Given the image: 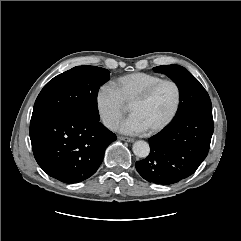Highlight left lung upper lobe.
<instances>
[{
  "instance_id": "5c2ea615",
  "label": "left lung upper lobe",
  "mask_w": 241,
  "mask_h": 241,
  "mask_svg": "<svg viewBox=\"0 0 241 241\" xmlns=\"http://www.w3.org/2000/svg\"><path fill=\"white\" fill-rule=\"evenodd\" d=\"M157 73L166 74L178 86L180 103L178 111L170 124L180 121L194 113L212 110L210 97L200 82L184 67L163 65L154 67Z\"/></svg>"
}]
</instances>
